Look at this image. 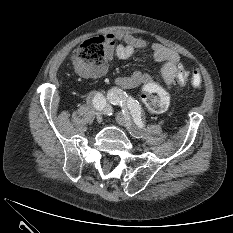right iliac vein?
Here are the masks:
<instances>
[{"mask_svg":"<svg viewBox=\"0 0 233 233\" xmlns=\"http://www.w3.org/2000/svg\"><path fill=\"white\" fill-rule=\"evenodd\" d=\"M96 120H97L98 123H101V122H102L103 117H102L101 113H99V112L96 113Z\"/></svg>","mask_w":233,"mask_h":233,"instance_id":"obj_1","label":"right iliac vein"}]
</instances>
